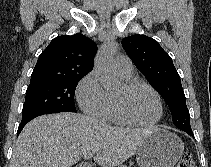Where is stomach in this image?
<instances>
[{"mask_svg": "<svg viewBox=\"0 0 211 167\" xmlns=\"http://www.w3.org/2000/svg\"><path fill=\"white\" fill-rule=\"evenodd\" d=\"M184 151V143L175 134L156 127L136 153L139 167H174Z\"/></svg>", "mask_w": 211, "mask_h": 167, "instance_id": "stomach-1", "label": "stomach"}]
</instances>
